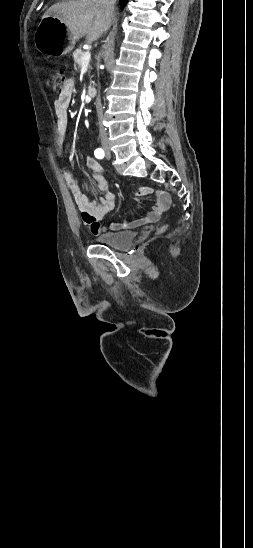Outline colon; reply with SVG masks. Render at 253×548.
Segmentation results:
<instances>
[{
	"instance_id": "obj_1",
	"label": "colon",
	"mask_w": 253,
	"mask_h": 548,
	"mask_svg": "<svg viewBox=\"0 0 253 548\" xmlns=\"http://www.w3.org/2000/svg\"><path fill=\"white\" fill-rule=\"evenodd\" d=\"M67 79L65 73L60 68L53 69L48 77V84L54 93H62L65 89Z\"/></svg>"
}]
</instances>
